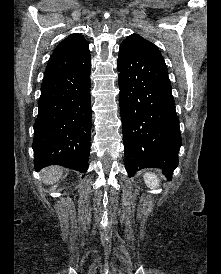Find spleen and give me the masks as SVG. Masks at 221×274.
I'll use <instances>...</instances> for the list:
<instances>
[{"label":"spleen","mask_w":221,"mask_h":274,"mask_svg":"<svg viewBox=\"0 0 221 274\" xmlns=\"http://www.w3.org/2000/svg\"><path fill=\"white\" fill-rule=\"evenodd\" d=\"M144 181L145 184L151 189H156L159 187L160 181L154 173H146L144 175Z\"/></svg>","instance_id":"1"}]
</instances>
